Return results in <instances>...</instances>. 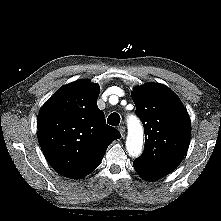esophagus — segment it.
Returning a JSON list of instances; mask_svg holds the SVG:
<instances>
[{
	"mask_svg": "<svg viewBox=\"0 0 221 221\" xmlns=\"http://www.w3.org/2000/svg\"><path fill=\"white\" fill-rule=\"evenodd\" d=\"M118 130L120 131L122 138H124L125 137V127L121 125L118 127Z\"/></svg>",
	"mask_w": 221,
	"mask_h": 221,
	"instance_id": "obj_1",
	"label": "esophagus"
}]
</instances>
